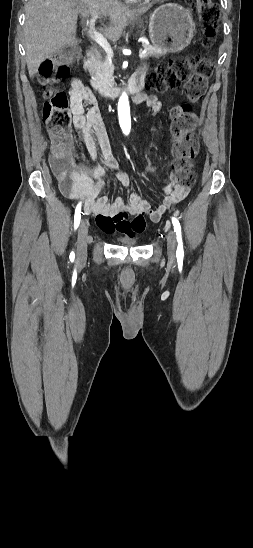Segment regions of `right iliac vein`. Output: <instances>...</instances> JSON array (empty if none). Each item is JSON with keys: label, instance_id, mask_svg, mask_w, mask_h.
Returning <instances> with one entry per match:
<instances>
[{"label": "right iliac vein", "instance_id": "obj_1", "mask_svg": "<svg viewBox=\"0 0 253 548\" xmlns=\"http://www.w3.org/2000/svg\"><path fill=\"white\" fill-rule=\"evenodd\" d=\"M87 235H88V224L82 220L78 229V238H77V258L80 261L85 260L87 256Z\"/></svg>", "mask_w": 253, "mask_h": 548}]
</instances>
